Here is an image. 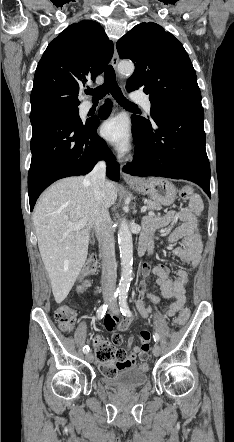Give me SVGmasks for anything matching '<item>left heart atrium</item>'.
<instances>
[{"label": "left heart atrium", "mask_w": 234, "mask_h": 442, "mask_svg": "<svg viewBox=\"0 0 234 442\" xmlns=\"http://www.w3.org/2000/svg\"><path fill=\"white\" fill-rule=\"evenodd\" d=\"M101 135L119 151L128 149L130 133L126 120L121 116L106 119L100 128Z\"/></svg>", "instance_id": "obj_1"}]
</instances>
